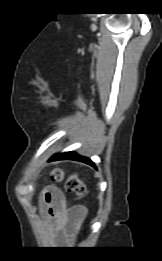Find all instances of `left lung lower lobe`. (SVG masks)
Wrapping results in <instances>:
<instances>
[{"label": "left lung lower lobe", "instance_id": "obj_1", "mask_svg": "<svg viewBox=\"0 0 162 261\" xmlns=\"http://www.w3.org/2000/svg\"><path fill=\"white\" fill-rule=\"evenodd\" d=\"M64 159H71V160H77V161L85 162V163L90 164V165L95 167L94 163L89 158L79 156L75 152H65V153L56 154L50 159V161H52V160H64Z\"/></svg>", "mask_w": 162, "mask_h": 261}]
</instances>
